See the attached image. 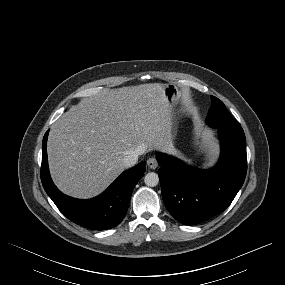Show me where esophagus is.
<instances>
[{"label": "esophagus", "mask_w": 285, "mask_h": 285, "mask_svg": "<svg viewBox=\"0 0 285 285\" xmlns=\"http://www.w3.org/2000/svg\"><path fill=\"white\" fill-rule=\"evenodd\" d=\"M147 165L150 169H156L158 167V161L156 158L151 157L147 160Z\"/></svg>", "instance_id": "esophagus-1"}]
</instances>
